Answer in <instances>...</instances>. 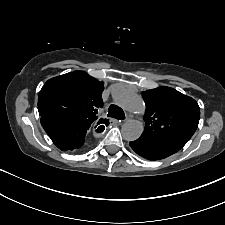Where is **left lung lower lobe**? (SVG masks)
<instances>
[{
    "label": "left lung lower lobe",
    "mask_w": 225,
    "mask_h": 225,
    "mask_svg": "<svg viewBox=\"0 0 225 225\" xmlns=\"http://www.w3.org/2000/svg\"><path fill=\"white\" fill-rule=\"evenodd\" d=\"M186 143L187 141L182 139L153 138L142 134L130 142V146L139 156L155 161L176 153Z\"/></svg>",
    "instance_id": "left-lung-lower-lobe-1"
}]
</instances>
